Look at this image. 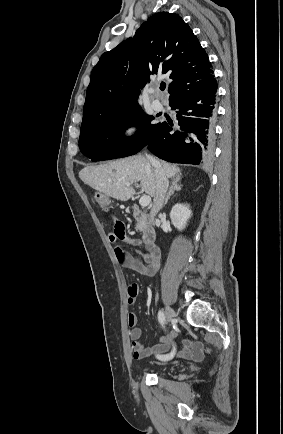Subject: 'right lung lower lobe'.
Listing matches in <instances>:
<instances>
[{
    "instance_id": "98d812e1",
    "label": "right lung lower lobe",
    "mask_w": 283,
    "mask_h": 434,
    "mask_svg": "<svg viewBox=\"0 0 283 434\" xmlns=\"http://www.w3.org/2000/svg\"><path fill=\"white\" fill-rule=\"evenodd\" d=\"M217 82L214 78L201 89L169 102L176 110L178 125L162 123L146 144L157 157L198 165L212 154ZM175 130L174 133H170ZM145 146V147H146Z\"/></svg>"
}]
</instances>
